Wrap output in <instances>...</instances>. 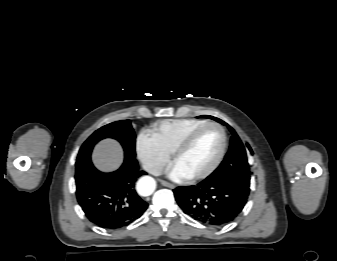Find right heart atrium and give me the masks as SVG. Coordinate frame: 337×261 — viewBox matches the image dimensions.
<instances>
[{"label":"right heart atrium","mask_w":337,"mask_h":261,"mask_svg":"<svg viewBox=\"0 0 337 261\" xmlns=\"http://www.w3.org/2000/svg\"><path fill=\"white\" fill-rule=\"evenodd\" d=\"M136 148L144 168L152 174L161 173L169 162V154L159 146L148 132L140 133Z\"/></svg>","instance_id":"d8ad5b80"}]
</instances>
